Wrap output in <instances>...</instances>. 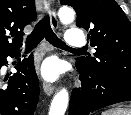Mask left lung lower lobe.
Instances as JSON below:
<instances>
[{
  "instance_id": "left-lung-lower-lobe-1",
  "label": "left lung lower lobe",
  "mask_w": 131,
  "mask_h": 115,
  "mask_svg": "<svg viewBox=\"0 0 131 115\" xmlns=\"http://www.w3.org/2000/svg\"><path fill=\"white\" fill-rule=\"evenodd\" d=\"M76 67L80 72L81 87L73 89L69 115H89L106 106L131 101V81L93 75L78 65Z\"/></svg>"
}]
</instances>
